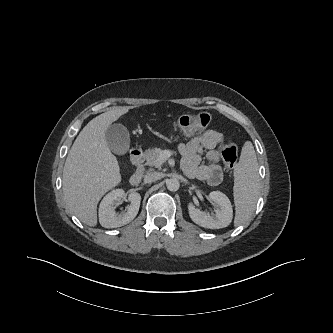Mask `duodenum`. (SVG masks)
I'll return each mask as SVG.
<instances>
[{
	"label": "duodenum",
	"instance_id": "obj_1",
	"mask_svg": "<svg viewBox=\"0 0 333 333\" xmlns=\"http://www.w3.org/2000/svg\"><path fill=\"white\" fill-rule=\"evenodd\" d=\"M131 161L135 166V171L129 179V183L132 186H137L144 175V155L143 152L139 149H136L132 152Z\"/></svg>",
	"mask_w": 333,
	"mask_h": 333
}]
</instances>
